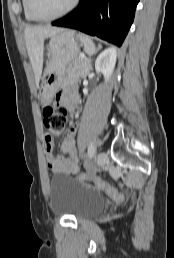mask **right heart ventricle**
Masks as SVG:
<instances>
[{
	"instance_id": "1",
	"label": "right heart ventricle",
	"mask_w": 174,
	"mask_h": 258,
	"mask_svg": "<svg viewBox=\"0 0 174 258\" xmlns=\"http://www.w3.org/2000/svg\"><path fill=\"white\" fill-rule=\"evenodd\" d=\"M22 8H23V12H24L25 18H26L28 21H37V20L34 19V18L30 15V13L28 12L26 0H22Z\"/></svg>"
}]
</instances>
